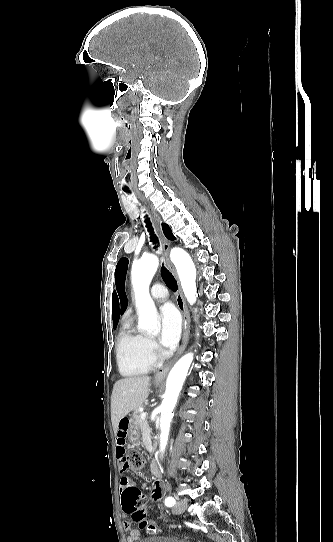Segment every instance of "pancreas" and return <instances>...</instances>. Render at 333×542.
<instances>
[{"label":"pancreas","mask_w":333,"mask_h":542,"mask_svg":"<svg viewBox=\"0 0 333 542\" xmlns=\"http://www.w3.org/2000/svg\"><path fill=\"white\" fill-rule=\"evenodd\" d=\"M141 414H143V412H139L138 408H136L132 416L136 426H138L140 432H151V428L149 426V422H147V418H145V420H141ZM151 438H153V436H151Z\"/></svg>","instance_id":"pancreas-1"}]
</instances>
